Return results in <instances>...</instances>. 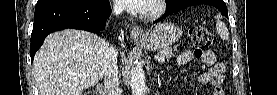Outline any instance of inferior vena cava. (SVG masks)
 Here are the masks:
<instances>
[{"label": "inferior vena cava", "mask_w": 277, "mask_h": 95, "mask_svg": "<svg viewBox=\"0 0 277 95\" xmlns=\"http://www.w3.org/2000/svg\"><path fill=\"white\" fill-rule=\"evenodd\" d=\"M122 11L123 9L121 6L114 5V14L119 15ZM117 55V50L113 46L108 45L106 47L104 58V86L107 95H121L119 89Z\"/></svg>", "instance_id": "inferior-vena-cava-1"}]
</instances>
